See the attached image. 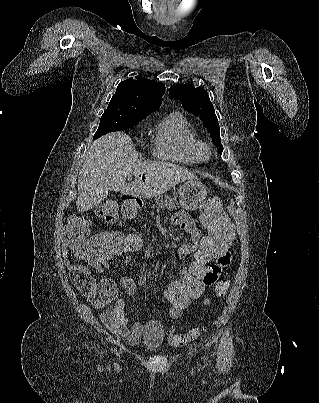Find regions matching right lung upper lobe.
<instances>
[{"label": "right lung upper lobe", "instance_id": "cb5924a9", "mask_svg": "<svg viewBox=\"0 0 319 403\" xmlns=\"http://www.w3.org/2000/svg\"><path fill=\"white\" fill-rule=\"evenodd\" d=\"M164 91L165 86L161 82L140 76L129 78L118 85L108 107L124 108L147 116L160 107Z\"/></svg>", "mask_w": 319, "mask_h": 403}]
</instances>
